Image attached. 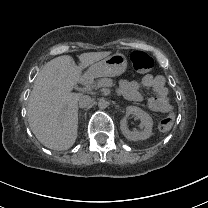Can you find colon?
<instances>
[{"label": "colon", "mask_w": 208, "mask_h": 208, "mask_svg": "<svg viewBox=\"0 0 208 208\" xmlns=\"http://www.w3.org/2000/svg\"><path fill=\"white\" fill-rule=\"evenodd\" d=\"M131 61L137 72L145 73L152 70L154 66L153 58L144 51H133L131 53ZM175 122V113L169 110L166 115L159 121L158 127L161 131L165 132L170 130Z\"/></svg>", "instance_id": "obj_1"}]
</instances>
